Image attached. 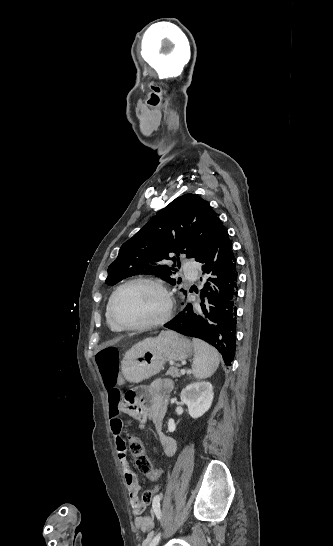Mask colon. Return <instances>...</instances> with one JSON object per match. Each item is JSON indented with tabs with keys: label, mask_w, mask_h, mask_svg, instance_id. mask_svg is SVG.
<instances>
[{
	"label": "colon",
	"mask_w": 333,
	"mask_h": 546,
	"mask_svg": "<svg viewBox=\"0 0 333 546\" xmlns=\"http://www.w3.org/2000/svg\"><path fill=\"white\" fill-rule=\"evenodd\" d=\"M95 361L103 378L104 384L108 388L109 400L112 403L119 402L120 393L118 390L113 388L116 385V377L118 375V350L113 346L101 348L95 355ZM136 397V392H129L127 394L126 402L129 405V408L134 407L133 404ZM129 442L130 451L138 471L147 477L153 475H159L160 477L162 475V470L160 468L153 467L140 438L135 434H131L129 436ZM157 495H159L158 486L145 491L142 495V503L149 504L153 502Z\"/></svg>",
	"instance_id": "obj_1"
}]
</instances>
